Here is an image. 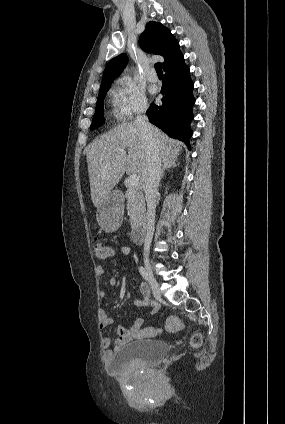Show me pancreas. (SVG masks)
I'll return each instance as SVG.
<instances>
[{
  "label": "pancreas",
  "instance_id": "cf45deb5",
  "mask_svg": "<svg viewBox=\"0 0 285 424\" xmlns=\"http://www.w3.org/2000/svg\"><path fill=\"white\" fill-rule=\"evenodd\" d=\"M125 197L127 199V211L130 216L131 227L136 228L143 220L145 214L143 193L138 187L133 188L128 185Z\"/></svg>",
  "mask_w": 285,
  "mask_h": 424
}]
</instances>
